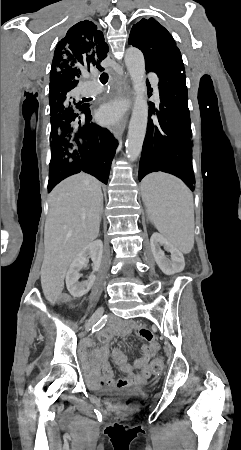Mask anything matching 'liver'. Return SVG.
I'll return each instance as SVG.
<instances>
[{
    "instance_id": "1",
    "label": "liver",
    "mask_w": 241,
    "mask_h": 450,
    "mask_svg": "<svg viewBox=\"0 0 241 450\" xmlns=\"http://www.w3.org/2000/svg\"><path fill=\"white\" fill-rule=\"evenodd\" d=\"M48 202L40 274L43 294L54 304L62 294L72 260L99 234L103 206L101 184L81 172L60 182L50 192Z\"/></svg>"
}]
</instances>
